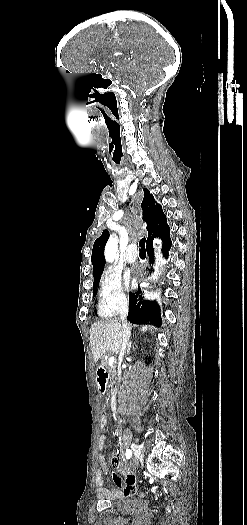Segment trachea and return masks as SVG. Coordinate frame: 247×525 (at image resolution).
<instances>
[{"label": "trachea", "mask_w": 247, "mask_h": 525, "mask_svg": "<svg viewBox=\"0 0 247 525\" xmlns=\"http://www.w3.org/2000/svg\"><path fill=\"white\" fill-rule=\"evenodd\" d=\"M145 243H146V238H141L140 242H139V251L140 253L141 252H146V248H145Z\"/></svg>", "instance_id": "obj_1"}]
</instances>
